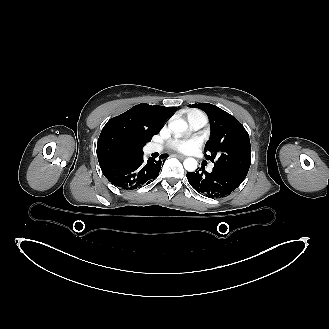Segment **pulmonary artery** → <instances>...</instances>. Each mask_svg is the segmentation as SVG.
<instances>
[{"mask_svg": "<svg viewBox=\"0 0 329 329\" xmlns=\"http://www.w3.org/2000/svg\"><path fill=\"white\" fill-rule=\"evenodd\" d=\"M188 122L192 129L198 130L206 125L207 117L204 114H194L189 117ZM149 150L150 152H159L162 150V146L159 144H152L150 145ZM212 167L213 165H210V170Z\"/></svg>", "mask_w": 329, "mask_h": 329, "instance_id": "obj_1", "label": "pulmonary artery"}]
</instances>
